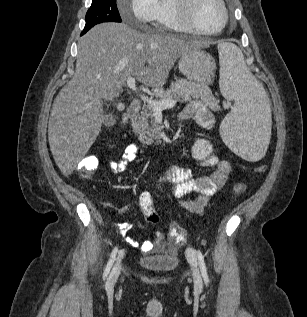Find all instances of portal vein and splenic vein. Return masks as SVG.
Instances as JSON below:
<instances>
[{
  "mask_svg": "<svg viewBox=\"0 0 307 317\" xmlns=\"http://www.w3.org/2000/svg\"><path fill=\"white\" fill-rule=\"evenodd\" d=\"M127 87H129L134 92H139L136 87V81L134 77H129L126 81ZM141 99L147 102V104L155 111V112H161L165 109L173 108L176 105V101L173 99L169 100H162L157 101L153 100L152 97L145 96L143 94H140Z\"/></svg>",
  "mask_w": 307,
  "mask_h": 317,
  "instance_id": "obj_1",
  "label": "portal vein and splenic vein"
}]
</instances>
